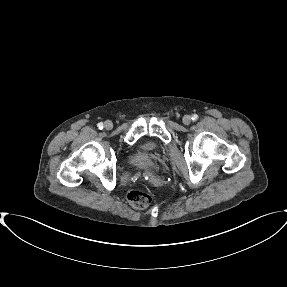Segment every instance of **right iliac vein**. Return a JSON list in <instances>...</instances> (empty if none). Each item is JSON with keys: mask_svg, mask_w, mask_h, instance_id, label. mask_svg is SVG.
<instances>
[{"mask_svg": "<svg viewBox=\"0 0 287 287\" xmlns=\"http://www.w3.org/2000/svg\"><path fill=\"white\" fill-rule=\"evenodd\" d=\"M104 127H105V129L110 130V129H112L113 124H112L111 121H106V122L104 123Z\"/></svg>", "mask_w": 287, "mask_h": 287, "instance_id": "63e3f726", "label": "right iliac vein"}]
</instances>
